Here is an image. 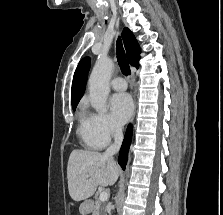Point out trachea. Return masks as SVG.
Listing matches in <instances>:
<instances>
[{
  "mask_svg": "<svg viewBox=\"0 0 223 215\" xmlns=\"http://www.w3.org/2000/svg\"><path fill=\"white\" fill-rule=\"evenodd\" d=\"M116 55H117L118 64L121 68L122 73L126 76L131 75L130 66L126 60L125 51L123 49L122 42L120 39H118L117 41Z\"/></svg>",
  "mask_w": 223,
  "mask_h": 215,
  "instance_id": "trachea-1",
  "label": "trachea"
}]
</instances>
